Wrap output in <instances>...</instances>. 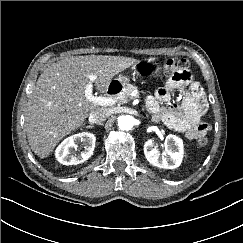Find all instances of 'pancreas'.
<instances>
[{
	"instance_id": "obj_1",
	"label": "pancreas",
	"mask_w": 243,
	"mask_h": 243,
	"mask_svg": "<svg viewBox=\"0 0 243 243\" xmlns=\"http://www.w3.org/2000/svg\"><path fill=\"white\" fill-rule=\"evenodd\" d=\"M136 90V87L128 84L118 95L114 96V99L120 103H127L131 99V93Z\"/></svg>"
}]
</instances>
